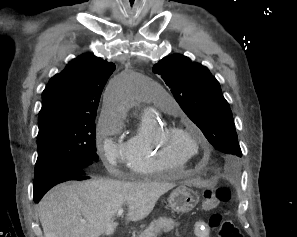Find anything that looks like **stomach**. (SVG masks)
I'll use <instances>...</instances> for the list:
<instances>
[{"mask_svg": "<svg viewBox=\"0 0 297 237\" xmlns=\"http://www.w3.org/2000/svg\"><path fill=\"white\" fill-rule=\"evenodd\" d=\"M198 195L185 186L175 189L169 196L171 209L178 213H188L197 205Z\"/></svg>", "mask_w": 297, "mask_h": 237, "instance_id": "obj_1", "label": "stomach"}]
</instances>
